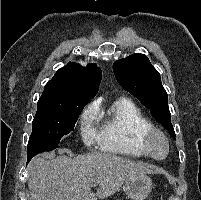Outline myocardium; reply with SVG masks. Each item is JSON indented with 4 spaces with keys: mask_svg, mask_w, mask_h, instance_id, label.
Segmentation results:
<instances>
[{
    "mask_svg": "<svg viewBox=\"0 0 201 200\" xmlns=\"http://www.w3.org/2000/svg\"><path fill=\"white\" fill-rule=\"evenodd\" d=\"M155 136H159V137H161L165 141L166 152H165V154L162 157H156L153 154L152 140H153V138ZM142 140H143L145 148H146V150L148 152V155L152 159L159 161V160L165 159L168 156V154L170 152V148H171V146H170V140H169L167 134L164 131H162L161 129L152 126L151 128H149L148 130H146L144 132V134L142 136Z\"/></svg>",
    "mask_w": 201,
    "mask_h": 200,
    "instance_id": "obj_1",
    "label": "myocardium"
}]
</instances>
